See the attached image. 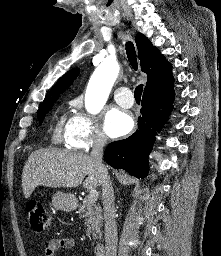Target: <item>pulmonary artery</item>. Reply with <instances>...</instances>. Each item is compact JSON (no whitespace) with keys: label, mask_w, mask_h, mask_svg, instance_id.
<instances>
[{"label":"pulmonary artery","mask_w":221,"mask_h":256,"mask_svg":"<svg viewBox=\"0 0 221 256\" xmlns=\"http://www.w3.org/2000/svg\"><path fill=\"white\" fill-rule=\"evenodd\" d=\"M114 99L120 106L130 108L134 104L132 92L127 87H119L114 91Z\"/></svg>","instance_id":"pulmonary-artery-1"}]
</instances>
